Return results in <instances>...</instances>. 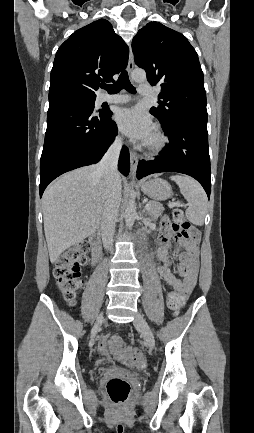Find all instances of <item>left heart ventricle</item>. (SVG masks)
I'll use <instances>...</instances> for the list:
<instances>
[{"instance_id":"obj_1","label":"left heart ventricle","mask_w":254,"mask_h":433,"mask_svg":"<svg viewBox=\"0 0 254 433\" xmlns=\"http://www.w3.org/2000/svg\"><path fill=\"white\" fill-rule=\"evenodd\" d=\"M151 139H152V135H151V137H150L148 140H151ZM148 140H147V141H148Z\"/></svg>"}]
</instances>
